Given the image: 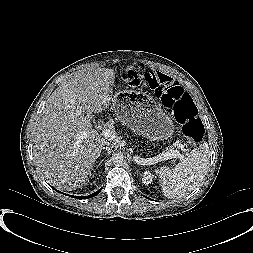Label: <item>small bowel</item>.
Returning a JSON list of instances; mask_svg holds the SVG:
<instances>
[{"instance_id":"c3829d8e","label":"small bowel","mask_w":253,"mask_h":253,"mask_svg":"<svg viewBox=\"0 0 253 253\" xmlns=\"http://www.w3.org/2000/svg\"><path fill=\"white\" fill-rule=\"evenodd\" d=\"M173 85H179V83L169 75L153 69L146 70V74L140 83V86H145L154 90L167 88Z\"/></svg>"}]
</instances>
